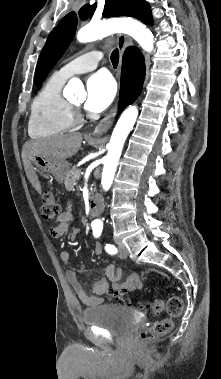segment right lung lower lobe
Returning a JSON list of instances; mask_svg holds the SVG:
<instances>
[{
  "label": "right lung lower lobe",
  "mask_w": 221,
  "mask_h": 379,
  "mask_svg": "<svg viewBox=\"0 0 221 379\" xmlns=\"http://www.w3.org/2000/svg\"><path fill=\"white\" fill-rule=\"evenodd\" d=\"M145 78V62L142 53L129 47L123 57L120 110L133 103L140 95Z\"/></svg>",
  "instance_id": "right-lung-lower-lobe-1"
}]
</instances>
